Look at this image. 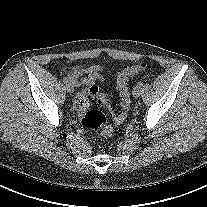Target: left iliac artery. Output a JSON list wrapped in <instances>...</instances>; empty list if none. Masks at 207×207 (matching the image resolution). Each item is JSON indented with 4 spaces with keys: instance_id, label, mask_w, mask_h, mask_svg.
<instances>
[{
    "instance_id": "obj_1",
    "label": "left iliac artery",
    "mask_w": 207,
    "mask_h": 207,
    "mask_svg": "<svg viewBox=\"0 0 207 207\" xmlns=\"http://www.w3.org/2000/svg\"><path fill=\"white\" fill-rule=\"evenodd\" d=\"M137 85H138L139 87H142L143 82H142V81H139V82L137 83Z\"/></svg>"
}]
</instances>
